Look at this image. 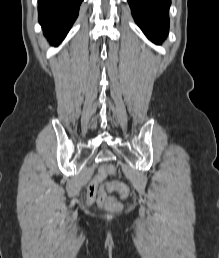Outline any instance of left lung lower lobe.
Instances as JSON below:
<instances>
[{
	"label": "left lung lower lobe",
	"instance_id": "1",
	"mask_svg": "<svg viewBox=\"0 0 219 258\" xmlns=\"http://www.w3.org/2000/svg\"><path fill=\"white\" fill-rule=\"evenodd\" d=\"M132 15L154 43L161 44L169 29L168 10L171 0H128Z\"/></svg>",
	"mask_w": 219,
	"mask_h": 258
}]
</instances>
